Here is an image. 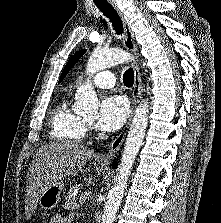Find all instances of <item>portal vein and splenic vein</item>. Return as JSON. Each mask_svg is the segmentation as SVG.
I'll return each mask as SVG.
<instances>
[{"mask_svg":"<svg viewBox=\"0 0 221 223\" xmlns=\"http://www.w3.org/2000/svg\"><path fill=\"white\" fill-rule=\"evenodd\" d=\"M90 194H91V192H85V195H86V196H88V195H90ZM86 196H84V197L82 198L83 201H85V199L87 198Z\"/></svg>","mask_w":221,"mask_h":223,"instance_id":"1","label":"portal vein and splenic vein"}]
</instances>
